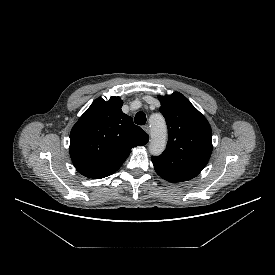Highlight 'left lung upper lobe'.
<instances>
[{
	"label": "left lung upper lobe",
	"instance_id": "obj_1",
	"mask_svg": "<svg viewBox=\"0 0 275 275\" xmlns=\"http://www.w3.org/2000/svg\"><path fill=\"white\" fill-rule=\"evenodd\" d=\"M160 112L168 127L164 152L152 156L156 172L187 181L207 165L212 152V130L206 118L181 93L159 96Z\"/></svg>",
	"mask_w": 275,
	"mask_h": 275
}]
</instances>
